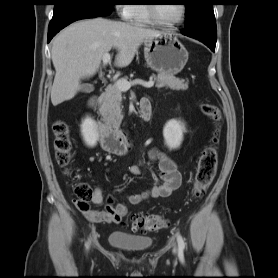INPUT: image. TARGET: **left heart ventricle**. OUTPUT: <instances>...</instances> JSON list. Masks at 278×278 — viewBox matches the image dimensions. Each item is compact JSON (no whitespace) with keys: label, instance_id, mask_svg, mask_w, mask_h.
Masks as SVG:
<instances>
[{"label":"left heart ventricle","instance_id":"b2bd125f","mask_svg":"<svg viewBox=\"0 0 278 278\" xmlns=\"http://www.w3.org/2000/svg\"><path fill=\"white\" fill-rule=\"evenodd\" d=\"M157 17L165 23H172L176 21L181 14L180 4H164L155 6Z\"/></svg>","mask_w":278,"mask_h":278}]
</instances>
